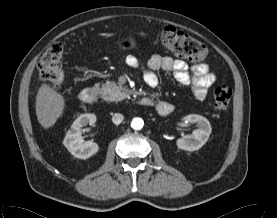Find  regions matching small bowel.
Returning a JSON list of instances; mask_svg holds the SVG:
<instances>
[{
  "mask_svg": "<svg viewBox=\"0 0 277 218\" xmlns=\"http://www.w3.org/2000/svg\"><path fill=\"white\" fill-rule=\"evenodd\" d=\"M126 63L135 68L139 66L140 61L136 56L129 55L126 57ZM147 66L148 69L144 71V81L148 86L155 87L158 84L157 71L173 72L178 83L191 86L194 97L199 101H203L207 97L209 87L216 81V75L209 71L205 63L189 67L184 60L154 54L150 57ZM160 102L170 104L167 101Z\"/></svg>",
  "mask_w": 277,
  "mask_h": 218,
  "instance_id": "1",
  "label": "small bowel"
}]
</instances>
